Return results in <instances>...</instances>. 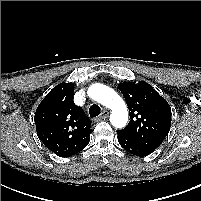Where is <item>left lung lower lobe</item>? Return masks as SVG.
<instances>
[{
	"label": "left lung lower lobe",
	"mask_w": 201,
	"mask_h": 201,
	"mask_svg": "<svg viewBox=\"0 0 201 201\" xmlns=\"http://www.w3.org/2000/svg\"><path fill=\"white\" fill-rule=\"evenodd\" d=\"M117 134L120 145L129 153L136 156H147L153 152L152 150L134 142L128 136L120 132H117Z\"/></svg>",
	"instance_id": "obj_1"
}]
</instances>
